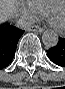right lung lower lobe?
Wrapping results in <instances>:
<instances>
[{
	"label": "right lung lower lobe",
	"instance_id": "obj_1",
	"mask_svg": "<svg viewBox=\"0 0 65 89\" xmlns=\"http://www.w3.org/2000/svg\"><path fill=\"white\" fill-rule=\"evenodd\" d=\"M24 32L9 23L0 24V70L13 60L18 40Z\"/></svg>",
	"mask_w": 65,
	"mask_h": 89
}]
</instances>
